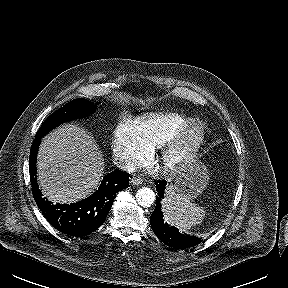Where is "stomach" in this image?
<instances>
[{
	"instance_id": "1",
	"label": "stomach",
	"mask_w": 288,
	"mask_h": 288,
	"mask_svg": "<svg viewBox=\"0 0 288 288\" xmlns=\"http://www.w3.org/2000/svg\"><path fill=\"white\" fill-rule=\"evenodd\" d=\"M208 182L209 173L206 166L201 162H196L180 173L168 188L175 194L192 200L203 192Z\"/></svg>"
}]
</instances>
